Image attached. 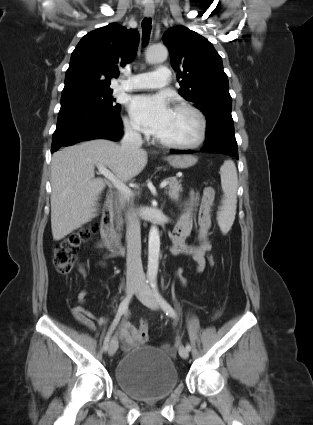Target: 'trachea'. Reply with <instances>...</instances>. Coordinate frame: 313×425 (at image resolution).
I'll return each mask as SVG.
<instances>
[{"mask_svg":"<svg viewBox=\"0 0 313 425\" xmlns=\"http://www.w3.org/2000/svg\"><path fill=\"white\" fill-rule=\"evenodd\" d=\"M151 23V18H144L142 21L143 44H146L149 40L151 32Z\"/></svg>","mask_w":313,"mask_h":425,"instance_id":"trachea-1","label":"trachea"}]
</instances>
